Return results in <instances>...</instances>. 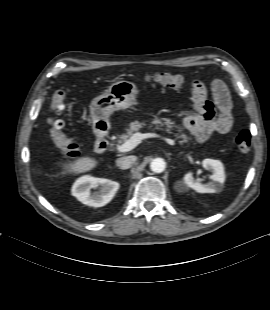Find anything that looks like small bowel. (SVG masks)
Returning <instances> with one entry per match:
<instances>
[{
  "label": "small bowel",
  "instance_id": "small-bowel-1",
  "mask_svg": "<svg viewBox=\"0 0 270 310\" xmlns=\"http://www.w3.org/2000/svg\"><path fill=\"white\" fill-rule=\"evenodd\" d=\"M218 115L205 109L208 92L201 81L192 83L193 110L184 118V127L199 142H205L213 133H228L233 126V103L223 81L214 79L210 84Z\"/></svg>",
  "mask_w": 270,
  "mask_h": 310
}]
</instances>
